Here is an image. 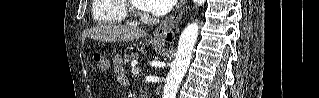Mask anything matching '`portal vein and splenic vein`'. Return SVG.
Listing matches in <instances>:
<instances>
[{
  "label": "portal vein and splenic vein",
  "mask_w": 319,
  "mask_h": 98,
  "mask_svg": "<svg viewBox=\"0 0 319 98\" xmlns=\"http://www.w3.org/2000/svg\"><path fill=\"white\" fill-rule=\"evenodd\" d=\"M141 70L140 68L136 67V64H133L132 65V73L135 75V76H138L140 74Z\"/></svg>",
  "instance_id": "obj_1"
}]
</instances>
